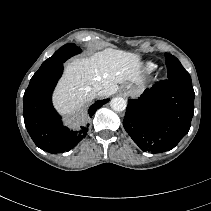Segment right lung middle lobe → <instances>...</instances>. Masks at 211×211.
<instances>
[{"label": "right lung middle lobe", "mask_w": 211, "mask_h": 211, "mask_svg": "<svg viewBox=\"0 0 211 211\" xmlns=\"http://www.w3.org/2000/svg\"><path fill=\"white\" fill-rule=\"evenodd\" d=\"M80 52L81 49L78 48L75 44L73 43L66 44L62 46L60 49H58L50 58L45 60L41 65V67L39 68V70L45 69L53 65L63 64L67 59Z\"/></svg>", "instance_id": "obj_1"}]
</instances>
